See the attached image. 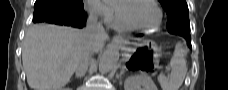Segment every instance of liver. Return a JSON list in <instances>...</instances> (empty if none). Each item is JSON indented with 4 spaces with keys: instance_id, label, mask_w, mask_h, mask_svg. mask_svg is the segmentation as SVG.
<instances>
[{
    "instance_id": "6515ba94",
    "label": "liver",
    "mask_w": 228,
    "mask_h": 90,
    "mask_svg": "<svg viewBox=\"0 0 228 90\" xmlns=\"http://www.w3.org/2000/svg\"><path fill=\"white\" fill-rule=\"evenodd\" d=\"M107 35L93 43L100 51ZM85 31L48 24L32 26L26 33L22 62L33 90H60L73 75L85 48Z\"/></svg>"
}]
</instances>
